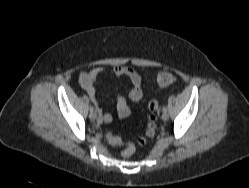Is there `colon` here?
<instances>
[{
    "instance_id": "1",
    "label": "colon",
    "mask_w": 249,
    "mask_h": 188,
    "mask_svg": "<svg viewBox=\"0 0 249 188\" xmlns=\"http://www.w3.org/2000/svg\"><path fill=\"white\" fill-rule=\"evenodd\" d=\"M156 81L158 84H160L162 86H169L175 82V77L170 72H162L157 76ZM157 109H158V104L156 101L152 100L148 103L149 115H148V121H147V125H146L145 137H141L138 140V143L140 145H144L147 141L146 138L152 137L155 134ZM106 139H107L108 143L111 145L122 144V139L118 136L111 134V133L106 134ZM134 151H135L134 146L129 144L123 150L122 155L124 157H130L134 153Z\"/></svg>"
}]
</instances>
